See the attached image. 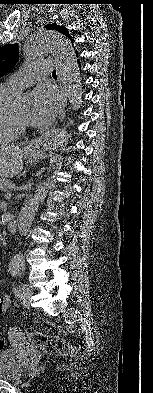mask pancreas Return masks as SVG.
I'll list each match as a JSON object with an SVG mask.
<instances>
[{
	"instance_id": "cf45deb5",
	"label": "pancreas",
	"mask_w": 153,
	"mask_h": 393,
	"mask_svg": "<svg viewBox=\"0 0 153 393\" xmlns=\"http://www.w3.org/2000/svg\"><path fill=\"white\" fill-rule=\"evenodd\" d=\"M12 181L10 179H0V191L7 192L12 186Z\"/></svg>"
}]
</instances>
